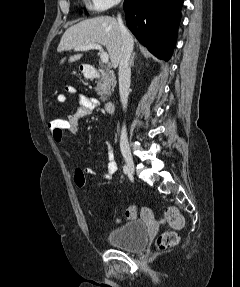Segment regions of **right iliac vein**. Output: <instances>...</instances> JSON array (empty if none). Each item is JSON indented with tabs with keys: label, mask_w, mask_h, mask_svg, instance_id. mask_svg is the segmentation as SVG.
I'll return each mask as SVG.
<instances>
[{
	"label": "right iliac vein",
	"mask_w": 240,
	"mask_h": 287,
	"mask_svg": "<svg viewBox=\"0 0 240 287\" xmlns=\"http://www.w3.org/2000/svg\"><path fill=\"white\" fill-rule=\"evenodd\" d=\"M122 155H123V157L125 159L128 171L131 174H134V161H133V157H132L130 151L128 149H124L122 151Z\"/></svg>",
	"instance_id": "right-iliac-vein-1"
}]
</instances>
